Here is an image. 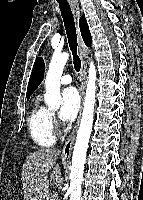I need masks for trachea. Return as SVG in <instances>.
Masks as SVG:
<instances>
[{"label": "trachea", "mask_w": 143, "mask_h": 200, "mask_svg": "<svg viewBox=\"0 0 143 200\" xmlns=\"http://www.w3.org/2000/svg\"><path fill=\"white\" fill-rule=\"evenodd\" d=\"M57 1L59 3V8L61 10L64 26L66 29L69 47L73 55L74 68L77 72H79L81 68V60L77 55V35L73 14L70 5L66 0Z\"/></svg>", "instance_id": "obj_1"}]
</instances>
